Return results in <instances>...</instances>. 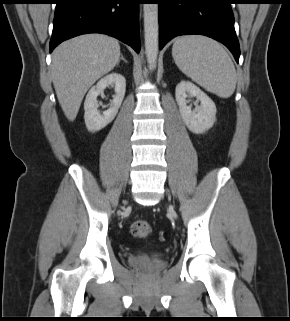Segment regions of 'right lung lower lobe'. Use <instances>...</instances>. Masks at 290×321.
<instances>
[{"mask_svg": "<svg viewBox=\"0 0 290 321\" xmlns=\"http://www.w3.org/2000/svg\"><path fill=\"white\" fill-rule=\"evenodd\" d=\"M139 3L142 0H56L50 52L72 37L103 33L139 53Z\"/></svg>", "mask_w": 290, "mask_h": 321, "instance_id": "obj_1", "label": "right lung lower lobe"}]
</instances>
